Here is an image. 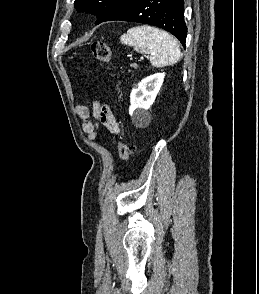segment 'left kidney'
I'll use <instances>...</instances> for the list:
<instances>
[{
  "label": "left kidney",
  "instance_id": "5707ae66",
  "mask_svg": "<svg viewBox=\"0 0 259 294\" xmlns=\"http://www.w3.org/2000/svg\"><path fill=\"white\" fill-rule=\"evenodd\" d=\"M165 73H156L144 78L130 94L129 114L136 121L140 115L147 116L146 111L154 103L164 81Z\"/></svg>",
  "mask_w": 259,
  "mask_h": 294
}]
</instances>
